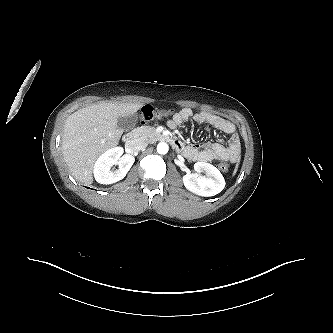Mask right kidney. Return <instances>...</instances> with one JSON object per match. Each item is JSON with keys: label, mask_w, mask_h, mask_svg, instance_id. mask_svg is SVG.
Here are the masks:
<instances>
[{"label": "right kidney", "mask_w": 333, "mask_h": 333, "mask_svg": "<svg viewBox=\"0 0 333 333\" xmlns=\"http://www.w3.org/2000/svg\"><path fill=\"white\" fill-rule=\"evenodd\" d=\"M123 154V148L115 147L104 152L95 162L94 177L100 184H113L122 180L135 159L130 154ZM113 165H118L119 168L111 170Z\"/></svg>", "instance_id": "1"}]
</instances>
